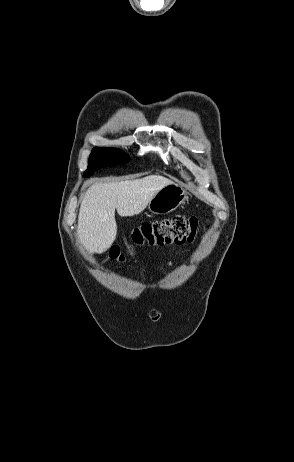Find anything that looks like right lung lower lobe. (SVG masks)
<instances>
[{
    "mask_svg": "<svg viewBox=\"0 0 294 462\" xmlns=\"http://www.w3.org/2000/svg\"><path fill=\"white\" fill-rule=\"evenodd\" d=\"M117 164L120 163L115 162L112 158H109L105 155H96L89 158L88 169L85 171L84 177H89L94 173V171L101 167L115 166Z\"/></svg>",
    "mask_w": 294,
    "mask_h": 462,
    "instance_id": "obj_1",
    "label": "right lung lower lobe"
}]
</instances>
